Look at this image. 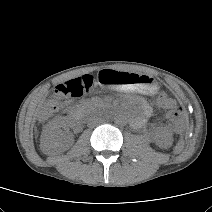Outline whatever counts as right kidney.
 Listing matches in <instances>:
<instances>
[{
    "label": "right kidney",
    "mask_w": 212,
    "mask_h": 212,
    "mask_svg": "<svg viewBox=\"0 0 212 212\" xmlns=\"http://www.w3.org/2000/svg\"><path fill=\"white\" fill-rule=\"evenodd\" d=\"M63 134L60 129V126L54 128L53 130H46L44 136L41 138V148L42 149H52L61 144L62 148L69 147L71 142L67 137L64 141Z\"/></svg>",
    "instance_id": "obj_1"
}]
</instances>
